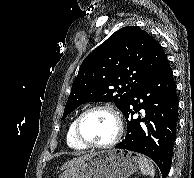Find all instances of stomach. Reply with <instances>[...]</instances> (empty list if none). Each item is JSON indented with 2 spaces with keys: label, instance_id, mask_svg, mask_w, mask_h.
<instances>
[{
  "label": "stomach",
  "instance_id": "0dacf381",
  "mask_svg": "<svg viewBox=\"0 0 194 178\" xmlns=\"http://www.w3.org/2000/svg\"><path fill=\"white\" fill-rule=\"evenodd\" d=\"M139 156L124 150L91 153L68 169L60 178H128L137 171Z\"/></svg>",
  "mask_w": 194,
  "mask_h": 178
}]
</instances>
